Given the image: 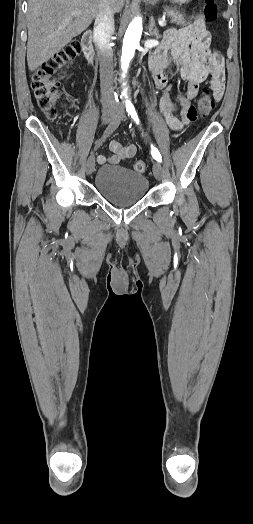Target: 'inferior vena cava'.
Listing matches in <instances>:
<instances>
[{
  "label": "inferior vena cava",
  "instance_id": "obj_1",
  "mask_svg": "<svg viewBox=\"0 0 253 524\" xmlns=\"http://www.w3.org/2000/svg\"><path fill=\"white\" fill-rule=\"evenodd\" d=\"M103 2L104 5L95 18L93 35L98 46L103 103L105 106H114L116 102L113 87V50L110 46V38L114 32V12L108 0Z\"/></svg>",
  "mask_w": 253,
  "mask_h": 524
}]
</instances>
